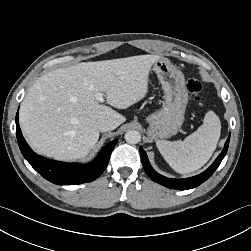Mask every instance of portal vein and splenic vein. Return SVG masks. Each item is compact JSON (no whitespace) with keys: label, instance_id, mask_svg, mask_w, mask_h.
Listing matches in <instances>:
<instances>
[{"label":"portal vein and splenic vein","instance_id":"1","mask_svg":"<svg viewBox=\"0 0 251 251\" xmlns=\"http://www.w3.org/2000/svg\"><path fill=\"white\" fill-rule=\"evenodd\" d=\"M96 99H97L99 102H103V101H104L103 93H98V94L96 95Z\"/></svg>","mask_w":251,"mask_h":251}]
</instances>
